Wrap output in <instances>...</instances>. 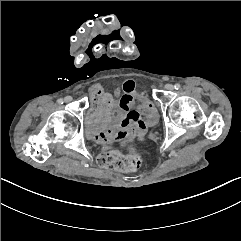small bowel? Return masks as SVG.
I'll return each mask as SVG.
<instances>
[{"instance_id":"c3829d8e","label":"small bowel","mask_w":241,"mask_h":241,"mask_svg":"<svg viewBox=\"0 0 241 241\" xmlns=\"http://www.w3.org/2000/svg\"><path fill=\"white\" fill-rule=\"evenodd\" d=\"M93 101L92 115L95 126L89 136L98 143L125 145L144 141L148 128L158 122V112L147 91L139 94L140 104H134L135 83L124 82L123 95L116 104L109 93H104L98 86L90 89Z\"/></svg>"}]
</instances>
